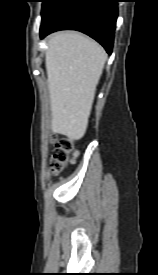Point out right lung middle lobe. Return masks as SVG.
Instances as JSON below:
<instances>
[{"instance_id": "obj_1", "label": "right lung middle lobe", "mask_w": 158, "mask_h": 275, "mask_svg": "<svg viewBox=\"0 0 158 275\" xmlns=\"http://www.w3.org/2000/svg\"><path fill=\"white\" fill-rule=\"evenodd\" d=\"M57 2L58 0H43L41 12L42 18L55 6Z\"/></svg>"}]
</instances>
